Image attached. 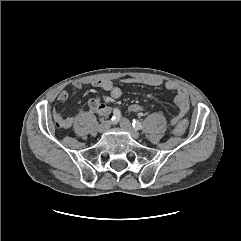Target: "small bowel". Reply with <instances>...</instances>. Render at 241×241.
I'll list each match as a JSON object with an SVG mask.
<instances>
[{
  "instance_id": "1",
  "label": "small bowel",
  "mask_w": 241,
  "mask_h": 241,
  "mask_svg": "<svg viewBox=\"0 0 241 241\" xmlns=\"http://www.w3.org/2000/svg\"><path fill=\"white\" fill-rule=\"evenodd\" d=\"M123 84H136L143 83L152 87H159L164 85L166 89L170 91H175V104L178 107V115L172 119V125H175L176 122L183 117L190 108V102L187 91L177 84L174 81L163 82L160 79H144L139 80L132 77H127L122 79ZM85 85H91L95 88L108 91L112 99H118L122 95V90L120 87L113 84V82L109 79H82L75 80L72 83V86L76 89H80ZM69 97V94L66 90H63L58 95V102L64 103ZM110 108L103 104L99 97H93L88 101V107L85 111L82 112H91L97 113L101 116H108L110 114ZM53 117L56 122V125L59 128L67 129L70 128L74 122L73 117H65L60 112L59 108L56 107L53 111Z\"/></svg>"
}]
</instances>
